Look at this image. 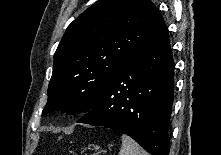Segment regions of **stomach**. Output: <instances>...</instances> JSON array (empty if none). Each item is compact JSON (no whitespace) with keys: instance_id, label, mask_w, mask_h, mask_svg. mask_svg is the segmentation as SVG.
Returning a JSON list of instances; mask_svg holds the SVG:
<instances>
[{"instance_id":"stomach-1","label":"stomach","mask_w":221,"mask_h":155,"mask_svg":"<svg viewBox=\"0 0 221 155\" xmlns=\"http://www.w3.org/2000/svg\"><path fill=\"white\" fill-rule=\"evenodd\" d=\"M94 149H95L96 151L98 150V152L96 153V155H99L100 153L104 152V151L100 150V146H95Z\"/></svg>"}]
</instances>
